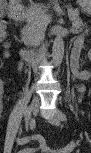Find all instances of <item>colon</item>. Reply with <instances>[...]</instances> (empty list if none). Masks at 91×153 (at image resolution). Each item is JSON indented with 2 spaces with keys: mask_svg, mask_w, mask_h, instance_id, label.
I'll use <instances>...</instances> for the list:
<instances>
[{
  "mask_svg": "<svg viewBox=\"0 0 91 153\" xmlns=\"http://www.w3.org/2000/svg\"><path fill=\"white\" fill-rule=\"evenodd\" d=\"M2 29H5V30H6V25H5V23H1V25H0V30H2ZM1 38H5V37H1ZM40 146H41V145H40ZM45 146H47V144H46ZM34 150H35V147H34V146H29V147L27 148V152H28V153H32V152H34Z\"/></svg>",
  "mask_w": 91,
  "mask_h": 153,
  "instance_id": "obj_1",
  "label": "colon"
}]
</instances>
